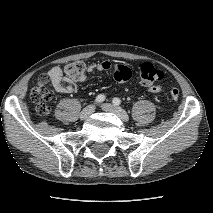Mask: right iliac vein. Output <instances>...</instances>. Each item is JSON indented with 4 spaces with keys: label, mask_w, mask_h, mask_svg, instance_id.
I'll use <instances>...</instances> for the list:
<instances>
[{
    "label": "right iliac vein",
    "mask_w": 213,
    "mask_h": 213,
    "mask_svg": "<svg viewBox=\"0 0 213 213\" xmlns=\"http://www.w3.org/2000/svg\"><path fill=\"white\" fill-rule=\"evenodd\" d=\"M94 109L95 107L93 105L84 108L80 113V119L81 120L87 119L94 112Z\"/></svg>",
    "instance_id": "1"
}]
</instances>
